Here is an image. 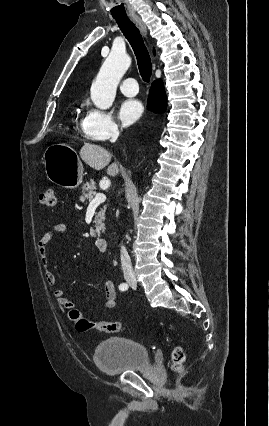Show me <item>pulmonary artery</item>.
Wrapping results in <instances>:
<instances>
[{
    "instance_id": "e3ab8cb5",
    "label": "pulmonary artery",
    "mask_w": 269,
    "mask_h": 426,
    "mask_svg": "<svg viewBox=\"0 0 269 426\" xmlns=\"http://www.w3.org/2000/svg\"><path fill=\"white\" fill-rule=\"evenodd\" d=\"M120 90L126 96H135L138 93V85L134 78L127 77L120 83Z\"/></svg>"
}]
</instances>
